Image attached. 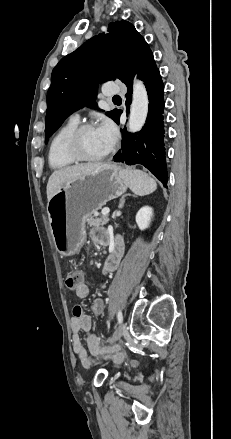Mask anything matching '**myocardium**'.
<instances>
[{
    "instance_id": "1",
    "label": "myocardium",
    "mask_w": 231,
    "mask_h": 439,
    "mask_svg": "<svg viewBox=\"0 0 231 439\" xmlns=\"http://www.w3.org/2000/svg\"><path fill=\"white\" fill-rule=\"evenodd\" d=\"M94 128L96 127L92 123H83L77 125L70 131L65 140V151L69 157L77 162H97L107 158L111 154L113 151L112 147L99 156H88L82 152L80 148V137L85 131Z\"/></svg>"
}]
</instances>
